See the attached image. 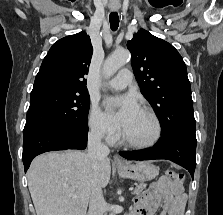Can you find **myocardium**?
Instances as JSON below:
<instances>
[{
	"label": "myocardium",
	"instance_id": "myocardium-1",
	"mask_svg": "<svg viewBox=\"0 0 223 215\" xmlns=\"http://www.w3.org/2000/svg\"><path fill=\"white\" fill-rule=\"evenodd\" d=\"M139 110L146 113L153 122L154 133H153L152 138L149 141L144 142V143H136V142L122 139L121 131H120L117 141H118L119 145L124 146L126 148L137 149V150L150 149V148L154 147L157 144L158 140L160 139L161 124H160V121H159L156 113L150 107L141 106V107H139Z\"/></svg>",
	"mask_w": 223,
	"mask_h": 215
}]
</instances>
